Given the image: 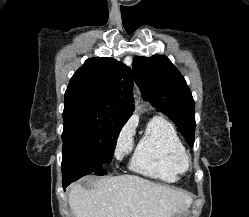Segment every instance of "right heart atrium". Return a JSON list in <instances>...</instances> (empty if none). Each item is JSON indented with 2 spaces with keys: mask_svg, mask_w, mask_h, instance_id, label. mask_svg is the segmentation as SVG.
Listing matches in <instances>:
<instances>
[{
  "mask_svg": "<svg viewBox=\"0 0 249 217\" xmlns=\"http://www.w3.org/2000/svg\"><path fill=\"white\" fill-rule=\"evenodd\" d=\"M135 122L130 119L119 130L115 147L114 156L118 161L124 159L132 150L134 142Z\"/></svg>",
  "mask_w": 249,
  "mask_h": 217,
  "instance_id": "1",
  "label": "right heart atrium"
}]
</instances>
